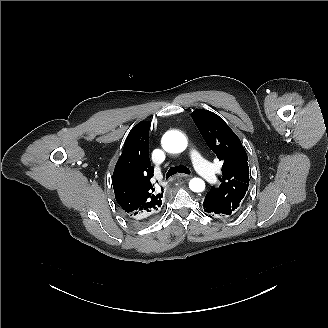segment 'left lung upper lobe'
I'll use <instances>...</instances> for the list:
<instances>
[{
	"mask_svg": "<svg viewBox=\"0 0 328 328\" xmlns=\"http://www.w3.org/2000/svg\"><path fill=\"white\" fill-rule=\"evenodd\" d=\"M192 118L209 148L223 161L221 185L211 187L206 200L231 215L242 202L249 186L248 157L240 139L217 114L203 109Z\"/></svg>",
	"mask_w": 328,
	"mask_h": 328,
	"instance_id": "left-lung-upper-lobe-1",
	"label": "left lung upper lobe"
}]
</instances>
